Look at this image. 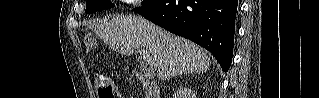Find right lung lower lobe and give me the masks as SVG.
Listing matches in <instances>:
<instances>
[{
  "instance_id": "obj_1",
  "label": "right lung lower lobe",
  "mask_w": 319,
  "mask_h": 98,
  "mask_svg": "<svg viewBox=\"0 0 319 98\" xmlns=\"http://www.w3.org/2000/svg\"><path fill=\"white\" fill-rule=\"evenodd\" d=\"M238 0H150L133 9L210 51L224 72L232 61Z\"/></svg>"
}]
</instances>
